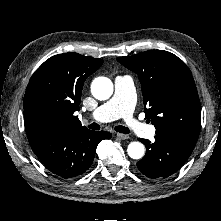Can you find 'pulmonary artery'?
Masks as SVG:
<instances>
[{"label": "pulmonary artery", "instance_id": "e3ab8cb5", "mask_svg": "<svg viewBox=\"0 0 221 221\" xmlns=\"http://www.w3.org/2000/svg\"><path fill=\"white\" fill-rule=\"evenodd\" d=\"M114 83L115 92L113 97L95 109L90 118L98 122L123 118L129 129L134 133L142 137L152 138L155 135L154 126L142 123L133 116L135 105L133 79L127 75L118 76Z\"/></svg>", "mask_w": 221, "mask_h": 221}]
</instances>
